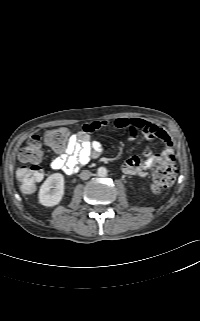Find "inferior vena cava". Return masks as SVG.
Here are the masks:
<instances>
[{
    "label": "inferior vena cava",
    "mask_w": 200,
    "mask_h": 321,
    "mask_svg": "<svg viewBox=\"0 0 200 321\" xmlns=\"http://www.w3.org/2000/svg\"><path fill=\"white\" fill-rule=\"evenodd\" d=\"M91 175L92 173L89 170H83L79 176L82 180H87L91 177Z\"/></svg>",
    "instance_id": "602c4592"
}]
</instances>
